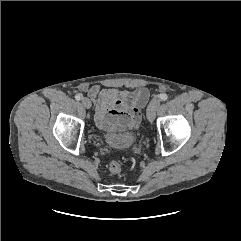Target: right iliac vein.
<instances>
[{
  "label": "right iliac vein",
  "instance_id": "63e3f726",
  "mask_svg": "<svg viewBox=\"0 0 241 241\" xmlns=\"http://www.w3.org/2000/svg\"><path fill=\"white\" fill-rule=\"evenodd\" d=\"M81 102H82V105H83L85 108H87V109L91 108V101H90L89 98L83 97V98L81 99Z\"/></svg>",
  "mask_w": 241,
  "mask_h": 241
}]
</instances>
